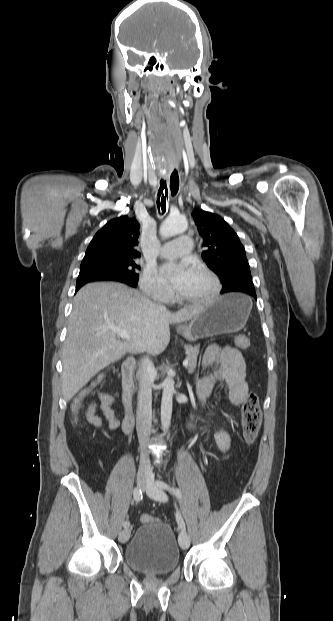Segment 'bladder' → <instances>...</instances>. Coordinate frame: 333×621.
<instances>
[{"instance_id":"obj_1","label":"bladder","mask_w":333,"mask_h":621,"mask_svg":"<svg viewBox=\"0 0 333 621\" xmlns=\"http://www.w3.org/2000/svg\"><path fill=\"white\" fill-rule=\"evenodd\" d=\"M124 561L149 575L167 574L179 564L180 551L172 528L161 521L141 525L126 544Z\"/></svg>"}]
</instances>
